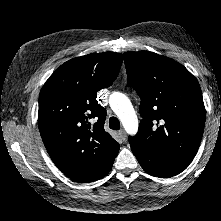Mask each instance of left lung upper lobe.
<instances>
[{
    "instance_id": "left-lung-upper-lobe-1",
    "label": "left lung upper lobe",
    "mask_w": 221,
    "mask_h": 221,
    "mask_svg": "<svg viewBox=\"0 0 221 221\" xmlns=\"http://www.w3.org/2000/svg\"><path fill=\"white\" fill-rule=\"evenodd\" d=\"M132 86L141 97L142 120L131 146L191 163L205 125V107L196 78L180 63L150 51L124 53Z\"/></svg>"
}]
</instances>
